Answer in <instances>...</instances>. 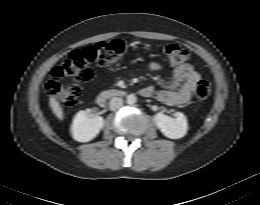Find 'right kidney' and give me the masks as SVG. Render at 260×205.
<instances>
[{
	"label": "right kidney",
	"mask_w": 260,
	"mask_h": 205,
	"mask_svg": "<svg viewBox=\"0 0 260 205\" xmlns=\"http://www.w3.org/2000/svg\"><path fill=\"white\" fill-rule=\"evenodd\" d=\"M90 109L79 111L73 119L71 132L78 142H88L95 138L104 126L101 116L90 117Z\"/></svg>",
	"instance_id": "obj_1"
}]
</instances>
